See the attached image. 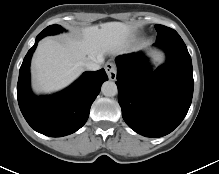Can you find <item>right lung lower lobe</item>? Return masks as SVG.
I'll use <instances>...</instances> for the list:
<instances>
[{"label": "right lung lower lobe", "instance_id": "1", "mask_svg": "<svg viewBox=\"0 0 219 174\" xmlns=\"http://www.w3.org/2000/svg\"><path fill=\"white\" fill-rule=\"evenodd\" d=\"M40 37L26 54L19 71L17 99L28 124L50 137L76 132L88 119L90 107L108 80L104 69L85 72L67 89L52 96H35L30 89V60Z\"/></svg>", "mask_w": 219, "mask_h": 174}]
</instances>
